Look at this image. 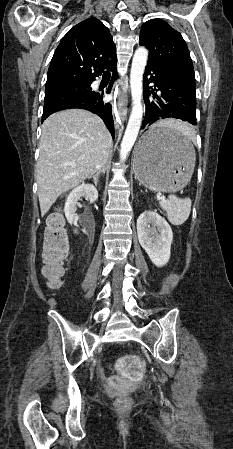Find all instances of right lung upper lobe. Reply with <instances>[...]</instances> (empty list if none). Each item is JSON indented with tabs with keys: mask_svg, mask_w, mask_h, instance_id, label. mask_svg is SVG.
Here are the masks:
<instances>
[{
	"mask_svg": "<svg viewBox=\"0 0 233 449\" xmlns=\"http://www.w3.org/2000/svg\"><path fill=\"white\" fill-rule=\"evenodd\" d=\"M115 63L116 47L108 28L96 18L86 19L74 26L58 45L49 66L45 91L90 84Z\"/></svg>",
	"mask_w": 233,
	"mask_h": 449,
	"instance_id": "right-lung-upper-lobe-1",
	"label": "right lung upper lobe"
}]
</instances>
